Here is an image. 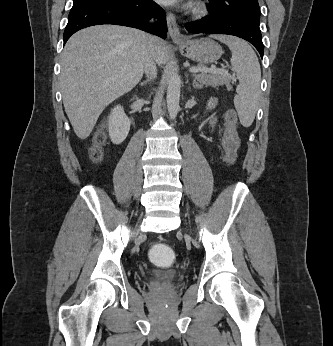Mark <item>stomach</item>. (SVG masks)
I'll return each instance as SVG.
<instances>
[{"instance_id": "stomach-1", "label": "stomach", "mask_w": 333, "mask_h": 346, "mask_svg": "<svg viewBox=\"0 0 333 346\" xmlns=\"http://www.w3.org/2000/svg\"><path fill=\"white\" fill-rule=\"evenodd\" d=\"M178 45L184 56L203 65L216 62L222 55L221 46L209 38L187 40Z\"/></svg>"}]
</instances>
